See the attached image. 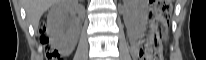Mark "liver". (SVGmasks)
Wrapping results in <instances>:
<instances>
[{
	"mask_svg": "<svg viewBox=\"0 0 206 60\" xmlns=\"http://www.w3.org/2000/svg\"><path fill=\"white\" fill-rule=\"evenodd\" d=\"M63 3V0H25V10L28 20L33 25L34 29L37 30L39 27V21L41 16L51 6Z\"/></svg>",
	"mask_w": 206,
	"mask_h": 60,
	"instance_id": "1",
	"label": "liver"
}]
</instances>
